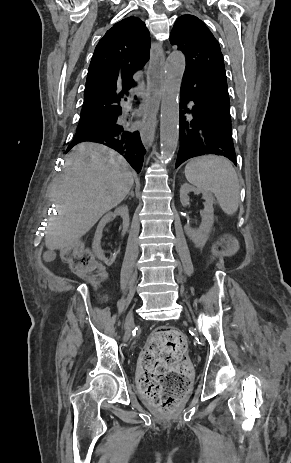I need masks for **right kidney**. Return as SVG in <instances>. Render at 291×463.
Instances as JSON below:
<instances>
[{"mask_svg":"<svg viewBox=\"0 0 291 463\" xmlns=\"http://www.w3.org/2000/svg\"><path fill=\"white\" fill-rule=\"evenodd\" d=\"M117 215L121 216L123 219L122 236L125 235V233L127 232L129 228V212H128L127 205L120 206L116 208L114 212H109L105 216H103V218L100 220L97 226L93 244H92L93 251L95 252L96 256L101 260L106 259L104 252L101 248V238H102L103 229L106 226V224H108L112 220V217L117 216Z\"/></svg>","mask_w":291,"mask_h":463,"instance_id":"ca27d5eb","label":"right kidney"}]
</instances>
